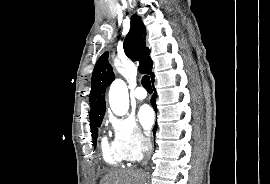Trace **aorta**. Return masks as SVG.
Returning <instances> with one entry per match:
<instances>
[{
  "label": "aorta",
  "instance_id": "aorta-1",
  "mask_svg": "<svg viewBox=\"0 0 270 184\" xmlns=\"http://www.w3.org/2000/svg\"><path fill=\"white\" fill-rule=\"evenodd\" d=\"M109 104L114 114L122 116L129 109V95L126 83L116 79L109 89Z\"/></svg>",
  "mask_w": 270,
  "mask_h": 184
}]
</instances>
